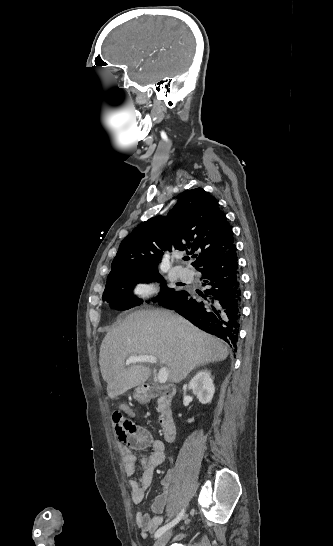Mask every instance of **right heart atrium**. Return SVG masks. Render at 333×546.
I'll use <instances>...</instances> for the list:
<instances>
[{
  "mask_svg": "<svg viewBox=\"0 0 333 546\" xmlns=\"http://www.w3.org/2000/svg\"><path fill=\"white\" fill-rule=\"evenodd\" d=\"M158 295V287L155 282L142 280L133 285L131 296L136 303H146L155 299Z\"/></svg>",
  "mask_w": 333,
  "mask_h": 546,
  "instance_id": "obj_1",
  "label": "right heart atrium"
}]
</instances>
